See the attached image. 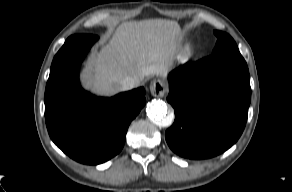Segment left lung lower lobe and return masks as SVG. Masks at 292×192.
I'll return each instance as SVG.
<instances>
[{
	"label": "left lung lower lobe",
	"instance_id": "0a47b994",
	"mask_svg": "<svg viewBox=\"0 0 292 192\" xmlns=\"http://www.w3.org/2000/svg\"><path fill=\"white\" fill-rule=\"evenodd\" d=\"M168 102L175 110L166 131L173 152L206 159L229 149L241 136L250 104V78L240 53L222 52L188 62L168 76Z\"/></svg>",
	"mask_w": 292,
	"mask_h": 192
}]
</instances>
